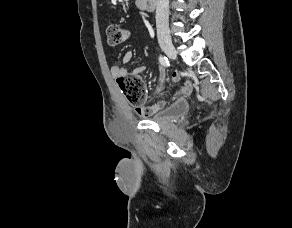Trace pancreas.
Listing matches in <instances>:
<instances>
[{
  "mask_svg": "<svg viewBox=\"0 0 292 228\" xmlns=\"http://www.w3.org/2000/svg\"><path fill=\"white\" fill-rule=\"evenodd\" d=\"M139 1H141V0H136V4H138V3H139Z\"/></svg>",
  "mask_w": 292,
  "mask_h": 228,
  "instance_id": "obj_1",
  "label": "pancreas"
}]
</instances>
